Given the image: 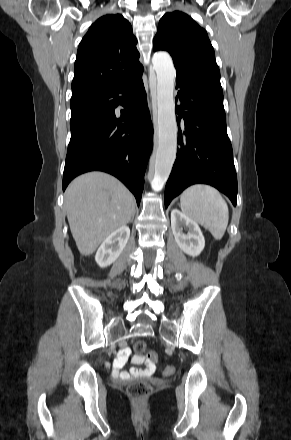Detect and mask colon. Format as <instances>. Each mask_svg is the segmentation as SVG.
<instances>
[{"label":"colon","instance_id":"1","mask_svg":"<svg viewBox=\"0 0 291 440\" xmlns=\"http://www.w3.org/2000/svg\"><path fill=\"white\" fill-rule=\"evenodd\" d=\"M134 359H142L144 357L149 358H155V353L152 351H149L147 348V345L144 341H137L134 345ZM151 387L150 385L143 381V380H137L129 384L127 388V394L128 396L136 401V402H143L150 394Z\"/></svg>","mask_w":291,"mask_h":440}]
</instances>
